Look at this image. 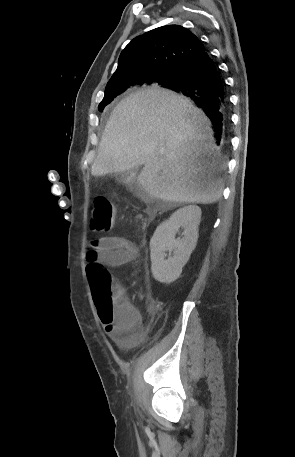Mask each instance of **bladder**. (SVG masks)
I'll return each mask as SVG.
<instances>
[{
  "mask_svg": "<svg viewBox=\"0 0 295 457\" xmlns=\"http://www.w3.org/2000/svg\"><path fill=\"white\" fill-rule=\"evenodd\" d=\"M112 347H126L124 353L126 356H133L137 347V338H112Z\"/></svg>",
  "mask_w": 295,
  "mask_h": 457,
  "instance_id": "1",
  "label": "bladder"
}]
</instances>
